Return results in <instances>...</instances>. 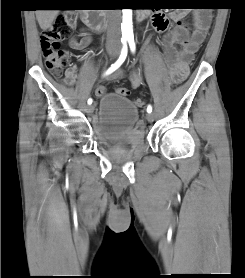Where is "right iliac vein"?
<instances>
[{"label": "right iliac vein", "instance_id": "right-iliac-vein-1", "mask_svg": "<svg viewBox=\"0 0 245 278\" xmlns=\"http://www.w3.org/2000/svg\"><path fill=\"white\" fill-rule=\"evenodd\" d=\"M117 53H118L117 49L110 50V52H109L111 57H114ZM93 111H94L93 105L87 106V113L91 114V113H93Z\"/></svg>", "mask_w": 245, "mask_h": 278}]
</instances>
